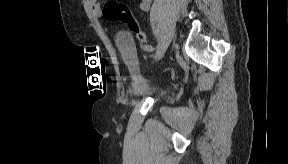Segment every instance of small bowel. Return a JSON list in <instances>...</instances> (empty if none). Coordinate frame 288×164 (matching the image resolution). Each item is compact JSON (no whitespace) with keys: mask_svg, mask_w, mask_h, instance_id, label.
<instances>
[{"mask_svg":"<svg viewBox=\"0 0 288 164\" xmlns=\"http://www.w3.org/2000/svg\"><path fill=\"white\" fill-rule=\"evenodd\" d=\"M149 7H150V3H149V1H144V2H142L141 4H140V8L142 9V10H147V9H149Z\"/></svg>","mask_w":288,"mask_h":164,"instance_id":"small-bowel-1","label":"small bowel"}]
</instances>
